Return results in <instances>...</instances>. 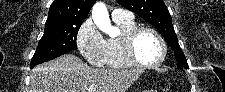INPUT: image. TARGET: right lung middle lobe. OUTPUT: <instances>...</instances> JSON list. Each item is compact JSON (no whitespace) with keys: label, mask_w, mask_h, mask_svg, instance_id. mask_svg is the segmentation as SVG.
Masks as SVG:
<instances>
[{"label":"right lung middle lobe","mask_w":225,"mask_h":92,"mask_svg":"<svg viewBox=\"0 0 225 92\" xmlns=\"http://www.w3.org/2000/svg\"><path fill=\"white\" fill-rule=\"evenodd\" d=\"M82 23L83 21L74 20L45 25L44 35L38 43L30 66H36L77 49L76 39Z\"/></svg>","instance_id":"1"}]
</instances>
